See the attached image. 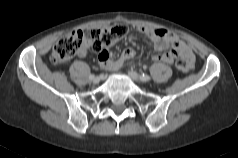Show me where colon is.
I'll use <instances>...</instances> for the list:
<instances>
[{"instance_id":"1","label":"colon","mask_w":238,"mask_h":158,"mask_svg":"<svg viewBox=\"0 0 238 158\" xmlns=\"http://www.w3.org/2000/svg\"><path fill=\"white\" fill-rule=\"evenodd\" d=\"M126 32L127 29L123 25L70 32L57 41L52 50L50 61L53 64L64 63L77 55L83 54L89 47L100 54L122 38ZM176 65L183 73H189L193 68V64L183 58H178Z\"/></svg>"}]
</instances>
